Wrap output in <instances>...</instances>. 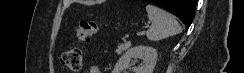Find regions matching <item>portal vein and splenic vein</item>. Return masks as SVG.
Returning a JSON list of instances; mask_svg holds the SVG:
<instances>
[{"label":"portal vein and splenic vein","mask_w":244,"mask_h":73,"mask_svg":"<svg viewBox=\"0 0 244 73\" xmlns=\"http://www.w3.org/2000/svg\"><path fill=\"white\" fill-rule=\"evenodd\" d=\"M145 33V31H139L137 32V35L140 36V35H143Z\"/></svg>","instance_id":"obj_1"}]
</instances>
